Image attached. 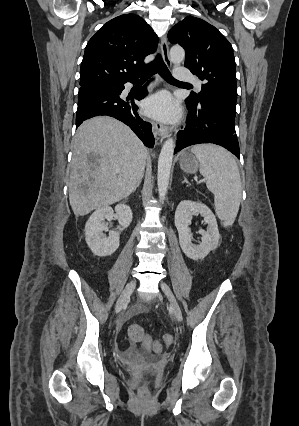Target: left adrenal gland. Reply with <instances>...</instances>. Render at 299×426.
I'll use <instances>...</instances> for the list:
<instances>
[{
	"label": "left adrenal gland",
	"mask_w": 299,
	"mask_h": 426,
	"mask_svg": "<svg viewBox=\"0 0 299 426\" xmlns=\"http://www.w3.org/2000/svg\"><path fill=\"white\" fill-rule=\"evenodd\" d=\"M183 178H184V180H183V182H182V183H187V184H189V182H188L187 178H186V177H183Z\"/></svg>",
	"instance_id": "obj_1"
}]
</instances>
